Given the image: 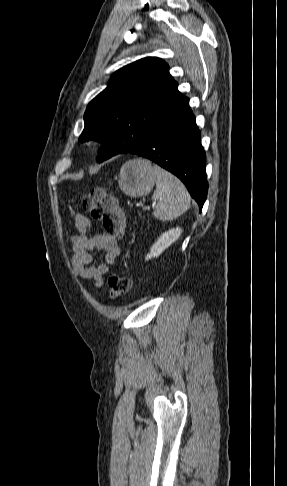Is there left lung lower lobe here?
I'll list each match as a JSON object with an SVG mask.
<instances>
[{
	"instance_id": "0a47b994",
	"label": "left lung lower lobe",
	"mask_w": 287,
	"mask_h": 486,
	"mask_svg": "<svg viewBox=\"0 0 287 486\" xmlns=\"http://www.w3.org/2000/svg\"><path fill=\"white\" fill-rule=\"evenodd\" d=\"M129 152L150 159L175 174L202 209L208 191L206 156L188 98L183 97L144 141Z\"/></svg>"
}]
</instances>
